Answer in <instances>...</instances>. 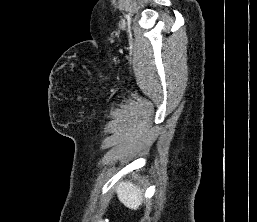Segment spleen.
Here are the masks:
<instances>
[{"mask_svg": "<svg viewBox=\"0 0 257 222\" xmlns=\"http://www.w3.org/2000/svg\"><path fill=\"white\" fill-rule=\"evenodd\" d=\"M117 196L129 209H138L142 203V191L130 181H121L116 186Z\"/></svg>", "mask_w": 257, "mask_h": 222, "instance_id": "obj_1", "label": "spleen"}]
</instances>
